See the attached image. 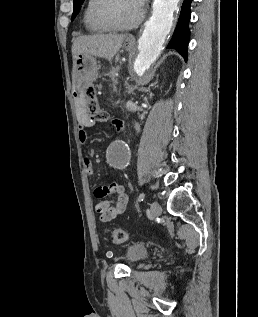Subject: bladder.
<instances>
[{"instance_id": "31cf9c89", "label": "bladder", "mask_w": 258, "mask_h": 317, "mask_svg": "<svg viewBox=\"0 0 258 317\" xmlns=\"http://www.w3.org/2000/svg\"><path fill=\"white\" fill-rule=\"evenodd\" d=\"M147 255V248L141 244H133L126 249V259L133 263Z\"/></svg>"}]
</instances>
